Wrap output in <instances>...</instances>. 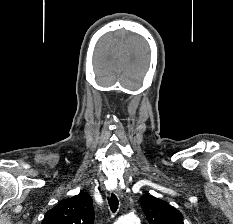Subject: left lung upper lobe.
I'll return each mask as SVG.
<instances>
[{
  "label": "left lung upper lobe",
  "mask_w": 233,
  "mask_h": 224,
  "mask_svg": "<svg viewBox=\"0 0 233 224\" xmlns=\"http://www.w3.org/2000/svg\"><path fill=\"white\" fill-rule=\"evenodd\" d=\"M141 206L150 224H184L180 211L159 198L145 194Z\"/></svg>",
  "instance_id": "1"
}]
</instances>
